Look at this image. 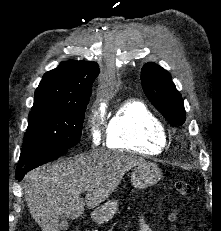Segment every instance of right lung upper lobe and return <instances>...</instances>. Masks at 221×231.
Instances as JSON below:
<instances>
[{
	"mask_svg": "<svg viewBox=\"0 0 221 231\" xmlns=\"http://www.w3.org/2000/svg\"><path fill=\"white\" fill-rule=\"evenodd\" d=\"M98 64L86 61L62 62L46 72L35 91L33 107L89 101Z\"/></svg>",
	"mask_w": 221,
	"mask_h": 231,
	"instance_id": "1",
	"label": "right lung upper lobe"
}]
</instances>
